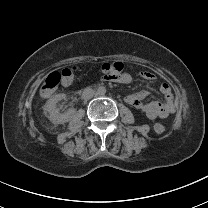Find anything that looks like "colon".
<instances>
[{
	"label": "colon",
	"instance_id": "5ec220e1",
	"mask_svg": "<svg viewBox=\"0 0 208 208\" xmlns=\"http://www.w3.org/2000/svg\"><path fill=\"white\" fill-rule=\"evenodd\" d=\"M96 72L102 77H122L124 64L121 61L106 62L96 67ZM74 77V69L66 67L61 71L51 73L45 80L42 90L45 92L55 91L59 85L70 83ZM154 131L158 135L165 134L167 125L163 122H157L154 125Z\"/></svg>",
	"mask_w": 208,
	"mask_h": 208
}]
</instances>
